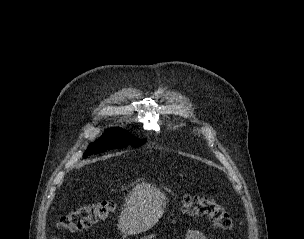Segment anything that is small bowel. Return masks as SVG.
Returning a JSON list of instances; mask_svg holds the SVG:
<instances>
[{
    "instance_id": "1",
    "label": "small bowel",
    "mask_w": 304,
    "mask_h": 239,
    "mask_svg": "<svg viewBox=\"0 0 304 239\" xmlns=\"http://www.w3.org/2000/svg\"><path fill=\"white\" fill-rule=\"evenodd\" d=\"M59 239V238H53ZM184 239H215L207 235L204 231L199 228H188L184 232Z\"/></svg>"
}]
</instances>
